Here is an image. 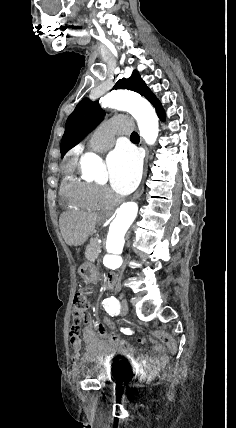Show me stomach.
<instances>
[{
    "label": "stomach",
    "mask_w": 236,
    "mask_h": 428,
    "mask_svg": "<svg viewBox=\"0 0 236 428\" xmlns=\"http://www.w3.org/2000/svg\"><path fill=\"white\" fill-rule=\"evenodd\" d=\"M97 265L92 264L91 261H86L82 264L78 276L80 279H84L85 283H88L91 287L97 286L100 282V275L97 274Z\"/></svg>",
    "instance_id": "1"
}]
</instances>
